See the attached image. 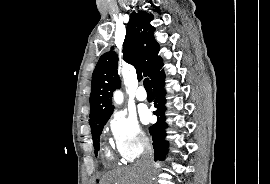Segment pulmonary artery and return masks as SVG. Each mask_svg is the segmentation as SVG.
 Instances as JSON below:
<instances>
[{"instance_id": "pulmonary-artery-1", "label": "pulmonary artery", "mask_w": 270, "mask_h": 184, "mask_svg": "<svg viewBox=\"0 0 270 184\" xmlns=\"http://www.w3.org/2000/svg\"><path fill=\"white\" fill-rule=\"evenodd\" d=\"M136 98L139 101H145L147 99V94L142 87L138 88V90L136 92Z\"/></svg>"}]
</instances>
